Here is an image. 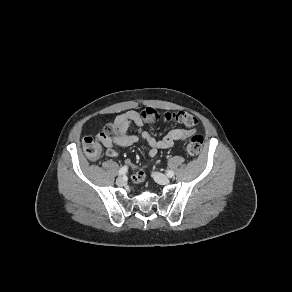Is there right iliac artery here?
<instances>
[{"label": "right iliac artery", "mask_w": 292, "mask_h": 292, "mask_svg": "<svg viewBox=\"0 0 292 292\" xmlns=\"http://www.w3.org/2000/svg\"><path fill=\"white\" fill-rule=\"evenodd\" d=\"M127 170H128V167H127V166H123V167L119 170L118 175H119V176H123V175H125L126 172H127Z\"/></svg>", "instance_id": "1"}]
</instances>
